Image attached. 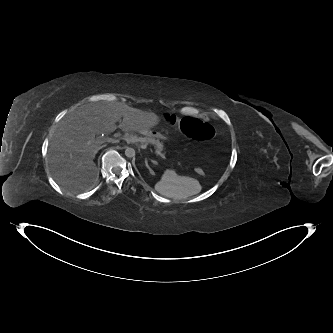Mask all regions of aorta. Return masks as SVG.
<instances>
[{"instance_id": "762f6f07", "label": "aorta", "mask_w": 333, "mask_h": 333, "mask_svg": "<svg viewBox=\"0 0 333 333\" xmlns=\"http://www.w3.org/2000/svg\"><path fill=\"white\" fill-rule=\"evenodd\" d=\"M135 154H136V152H135V149H134V148L127 147V148L125 149V155H126V157H128V158H133V157H135Z\"/></svg>"}]
</instances>
